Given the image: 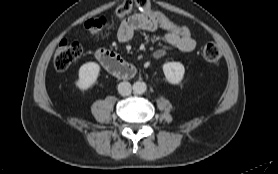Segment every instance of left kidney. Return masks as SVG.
Returning <instances> with one entry per match:
<instances>
[{
	"mask_svg": "<svg viewBox=\"0 0 278 174\" xmlns=\"http://www.w3.org/2000/svg\"><path fill=\"white\" fill-rule=\"evenodd\" d=\"M163 72L170 84H179L184 77L185 68L180 62H168L163 65Z\"/></svg>",
	"mask_w": 278,
	"mask_h": 174,
	"instance_id": "5707ae66",
	"label": "left kidney"
}]
</instances>
